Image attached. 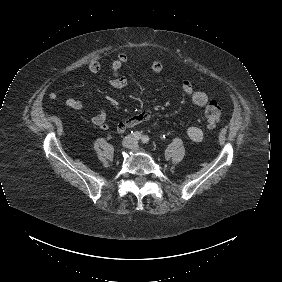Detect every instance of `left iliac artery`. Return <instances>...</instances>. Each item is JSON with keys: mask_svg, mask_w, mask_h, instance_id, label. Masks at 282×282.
Returning a JSON list of instances; mask_svg holds the SVG:
<instances>
[{"mask_svg": "<svg viewBox=\"0 0 282 282\" xmlns=\"http://www.w3.org/2000/svg\"><path fill=\"white\" fill-rule=\"evenodd\" d=\"M141 141H142L143 143H148V142H149V137L146 136V135H144V136L141 137Z\"/></svg>", "mask_w": 282, "mask_h": 282, "instance_id": "obj_1", "label": "left iliac artery"}]
</instances>
